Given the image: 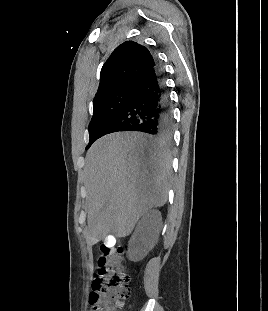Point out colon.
Instances as JSON below:
<instances>
[{
    "mask_svg": "<svg viewBox=\"0 0 268 311\" xmlns=\"http://www.w3.org/2000/svg\"><path fill=\"white\" fill-rule=\"evenodd\" d=\"M122 248L102 244L97 259L99 277L92 283L91 311H117L129 297V276L122 259Z\"/></svg>",
    "mask_w": 268,
    "mask_h": 311,
    "instance_id": "colon-1",
    "label": "colon"
}]
</instances>
